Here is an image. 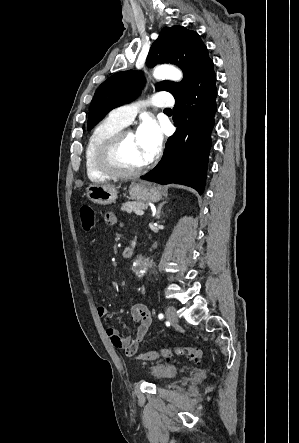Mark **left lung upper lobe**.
I'll return each mask as SVG.
<instances>
[{"label": "left lung upper lobe", "mask_w": 299, "mask_h": 443, "mask_svg": "<svg viewBox=\"0 0 299 443\" xmlns=\"http://www.w3.org/2000/svg\"><path fill=\"white\" fill-rule=\"evenodd\" d=\"M211 61L200 36L182 26L165 28L152 44L147 65L159 63L178 65L184 79L180 83L162 81L157 90L168 91L174 97L184 91L201 70ZM141 71L128 70L115 73L97 89L89 109L87 129L95 126L110 110L134 100L143 87Z\"/></svg>", "instance_id": "5c2ea615"}]
</instances>
